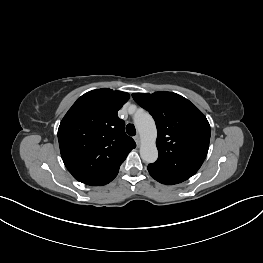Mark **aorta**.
Here are the masks:
<instances>
[{
    "instance_id": "1",
    "label": "aorta",
    "mask_w": 263,
    "mask_h": 263,
    "mask_svg": "<svg viewBox=\"0 0 263 263\" xmlns=\"http://www.w3.org/2000/svg\"><path fill=\"white\" fill-rule=\"evenodd\" d=\"M134 122L141 137L140 156L146 163H154L158 158L155 143L157 137L155 122L148 113L136 116Z\"/></svg>"
}]
</instances>
